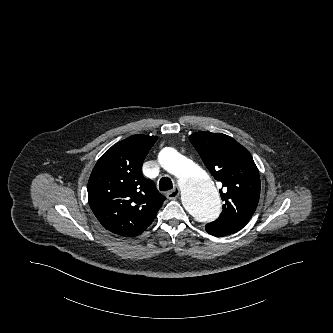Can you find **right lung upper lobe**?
<instances>
[{"label": "right lung upper lobe", "mask_w": 333, "mask_h": 333, "mask_svg": "<svg viewBox=\"0 0 333 333\" xmlns=\"http://www.w3.org/2000/svg\"><path fill=\"white\" fill-rule=\"evenodd\" d=\"M157 139L133 135L116 143L102 155L90 175V207L99 222L115 234H141L165 200L141 171L145 156Z\"/></svg>", "instance_id": "1"}]
</instances>
